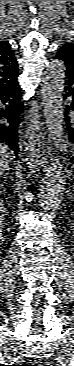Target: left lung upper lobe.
I'll return each mask as SVG.
<instances>
[{
  "mask_svg": "<svg viewBox=\"0 0 74 366\" xmlns=\"http://www.w3.org/2000/svg\"><path fill=\"white\" fill-rule=\"evenodd\" d=\"M56 59L64 61L66 68L74 71V43H67L59 48Z\"/></svg>",
  "mask_w": 74,
  "mask_h": 366,
  "instance_id": "5c2ea615",
  "label": "left lung upper lobe"
}]
</instances>
